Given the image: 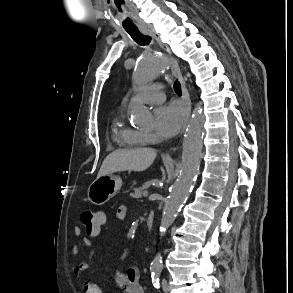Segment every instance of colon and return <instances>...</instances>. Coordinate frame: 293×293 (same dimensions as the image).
Instances as JSON below:
<instances>
[{
  "mask_svg": "<svg viewBox=\"0 0 293 293\" xmlns=\"http://www.w3.org/2000/svg\"><path fill=\"white\" fill-rule=\"evenodd\" d=\"M80 220L87 231H96L101 224L99 212L91 209H84L80 214ZM92 292L100 293V289L98 287H93Z\"/></svg>",
  "mask_w": 293,
  "mask_h": 293,
  "instance_id": "colon-1",
  "label": "colon"
}]
</instances>
